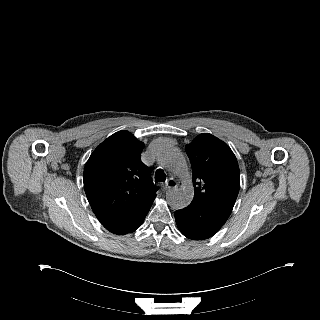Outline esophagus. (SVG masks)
Masks as SVG:
<instances>
[{
    "mask_svg": "<svg viewBox=\"0 0 320 320\" xmlns=\"http://www.w3.org/2000/svg\"><path fill=\"white\" fill-rule=\"evenodd\" d=\"M175 188H177V182L173 178L167 180V182L163 186V189L166 191L173 190Z\"/></svg>",
    "mask_w": 320,
    "mask_h": 320,
    "instance_id": "esophagus-1",
    "label": "esophagus"
}]
</instances>
